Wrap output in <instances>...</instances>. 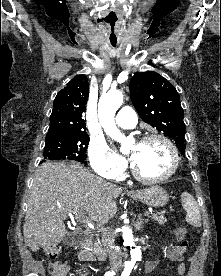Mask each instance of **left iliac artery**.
I'll return each instance as SVG.
<instances>
[{
	"label": "left iliac artery",
	"instance_id": "left-iliac-artery-1",
	"mask_svg": "<svg viewBox=\"0 0 221 276\" xmlns=\"http://www.w3.org/2000/svg\"><path fill=\"white\" fill-rule=\"evenodd\" d=\"M130 272H131V269L125 268V270L122 272L121 276H129Z\"/></svg>",
	"mask_w": 221,
	"mask_h": 276
}]
</instances>
